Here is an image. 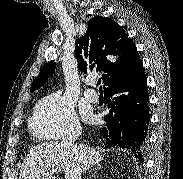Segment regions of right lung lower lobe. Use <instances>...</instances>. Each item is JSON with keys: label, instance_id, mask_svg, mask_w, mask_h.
Listing matches in <instances>:
<instances>
[{"label": "right lung lower lobe", "instance_id": "1", "mask_svg": "<svg viewBox=\"0 0 183 179\" xmlns=\"http://www.w3.org/2000/svg\"><path fill=\"white\" fill-rule=\"evenodd\" d=\"M104 94L105 104L110 108L100 130L105 148L130 149L143 163L141 152L146 144L150 114L142 63L133 73L105 87Z\"/></svg>", "mask_w": 183, "mask_h": 179}]
</instances>
